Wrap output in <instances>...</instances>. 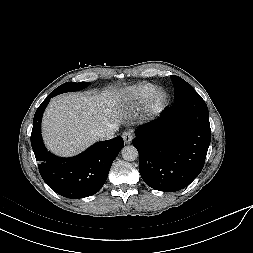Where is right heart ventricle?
Wrapping results in <instances>:
<instances>
[{"label": "right heart ventricle", "mask_w": 253, "mask_h": 253, "mask_svg": "<svg viewBox=\"0 0 253 253\" xmlns=\"http://www.w3.org/2000/svg\"><path fill=\"white\" fill-rule=\"evenodd\" d=\"M154 90L155 87L150 83L131 87L123 93L120 102L127 108L139 106L149 99Z\"/></svg>", "instance_id": "right-heart-ventricle-1"}]
</instances>
